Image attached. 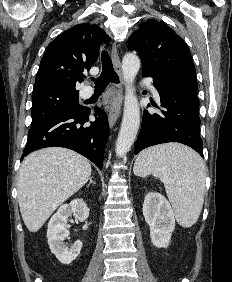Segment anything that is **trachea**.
I'll return each mask as SVG.
<instances>
[{"label": "trachea", "mask_w": 232, "mask_h": 282, "mask_svg": "<svg viewBox=\"0 0 232 282\" xmlns=\"http://www.w3.org/2000/svg\"><path fill=\"white\" fill-rule=\"evenodd\" d=\"M101 61L102 72L100 76L97 79H91L95 84V92L99 93L105 90L110 81L114 83L119 82L118 75L113 69L112 61L107 51L102 52Z\"/></svg>", "instance_id": "3493384b"}]
</instances>
